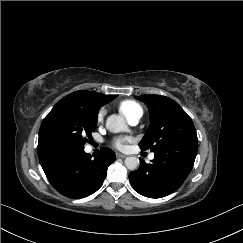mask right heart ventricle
Masks as SVG:
<instances>
[{"instance_id":"right-heart-ventricle-1","label":"right heart ventricle","mask_w":243,"mask_h":243,"mask_svg":"<svg viewBox=\"0 0 243 243\" xmlns=\"http://www.w3.org/2000/svg\"><path fill=\"white\" fill-rule=\"evenodd\" d=\"M118 109H119L120 113L127 120H129L130 118H132L138 114H143V110H142L141 106L133 100L122 101L119 104Z\"/></svg>"}]
</instances>
